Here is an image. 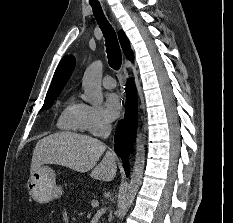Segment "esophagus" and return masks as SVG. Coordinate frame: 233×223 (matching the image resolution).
I'll use <instances>...</instances> for the list:
<instances>
[{
  "label": "esophagus",
  "mask_w": 233,
  "mask_h": 223,
  "mask_svg": "<svg viewBox=\"0 0 233 223\" xmlns=\"http://www.w3.org/2000/svg\"><path fill=\"white\" fill-rule=\"evenodd\" d=\"M122 76L125 80L128 79V71H127V68L124 66L123 69H122Z\"/></svg>",
  "instance_id": "obj_1"
}]
</instances>
